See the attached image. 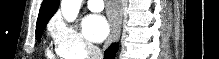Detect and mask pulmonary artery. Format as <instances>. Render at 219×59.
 <instances>
[{"instance_id": "e3ab8cb5", "label": "pulmonary artery", "mask_w": 219, "mask_h": 59, "mask_svg": "<svg viewBox=\"0 0 219 59\" xmlns=\"http://www.w3.org/2000/svg\"><path fill=\"white\" fill-rule=\"evenodd\" d=\"M88 8L93 12H100L104 9L102 0H89L87 2Z\"/></svg>"}]
</instances>
